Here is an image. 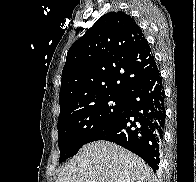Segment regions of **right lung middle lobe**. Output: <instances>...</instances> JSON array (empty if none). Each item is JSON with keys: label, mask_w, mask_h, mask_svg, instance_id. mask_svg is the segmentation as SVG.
I'll return each instance as SVG.
<instances>
[{"label": "right lung middle lobe", "mask_w": 196, "mask_h": 182, "mask_svg": "<svg viewBox=\"0 0 196 182\" xmlns=\"http://www.w3.org/2000/svg\"><path fill=\"white\" fill-rule=\"evenodd\" d=\"M125 101V97L102 96L61 112L58 118L59 162L91 142L98 131L122 112Z\"/></svg>", "instance_id": "1"}]
</instances>
